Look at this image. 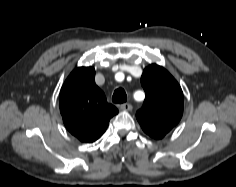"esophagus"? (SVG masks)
Masks as SVG:
<instances>
[{
  "instance_id": "1",
  "label": "esophagus",
  "mask_w": 236,
  "mask_h": 187,
  "mask_svg": "<svg viewBox=\"0 0 236 187\" xmlns=\"http://www.w3.org/2000/svg\"><path fill=\"white\" fill-rule=\"evenodd\" d=\"M120 109L124 111H131L132 105L129 103H124V104H121Z\"/></svg>"
}]
</instances>
